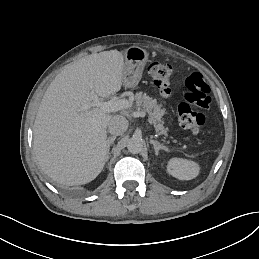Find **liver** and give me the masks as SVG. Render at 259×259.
Returning <instances> with one entry per match:
<instances>
[{
  "instance_id": "liver-1",
  "label": "liver",
  "mask_w": 259,
  "mask_h": 259,
  "mask_svg": "<svg viewBox=\"0 0 259 259\" xmlns=\"http://www.w3.org/2000/svg\"><path fill=\"white\" fill-rule=\"evenodd\" d=\"M124 57L117 50L93 53L65 66L47 88L33 128V151L54 181L81 185L94 180L108 157L106 128L112 116L101 108L78 112L91 91L107 98L121 89Z\"/></svg>"
}]
</instances>
